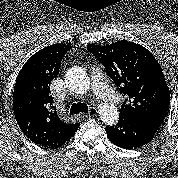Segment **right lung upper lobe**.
Wrapping results in <instances>:
<instances>
[{
  "mask_svg": "<svg viewBox=\"0 0 178 178\" xmlns=\"http://www.w3.org/2000/svg\"><path fill=\"white\" fill-rule=\"evenodd\" d=\"M71 48V45L55 44L39 50L24 64L15 83L13 110L16 121L31 141L45 148L62 146L80 125L61 119L50 95V84Z\"/></svg>",
  "mask_w": 178,
  "mask_h": 178,
  "instance_id": "obj_1",
  "label": "right lung upper lobe"
}]
</instances>
